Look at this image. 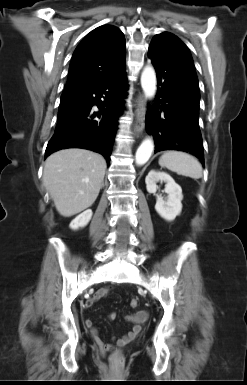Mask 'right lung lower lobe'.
Instances as JSON below:
<instances>
[{
	"instance_id": "1",
	"label": "right lung lower lobe",
	"mask_w": 247,
	"mask_h": 385,
	"mask_svg": "<svg viewBox=\"0 0 247 385\" xmlns=\"http://www.w3.org/2000/svg\"><path fill=\"white\" fill-rule=\"evenodd\" d=\"M126 90L124 67L116 75L61 102L56 129L47 145L45 157L60 149L84 148L102 154L109 163ZM94 105L99 108L98 113L92 110ZM95 117L100 119L95 120Z\"/></svg>"
}]
</instances>
